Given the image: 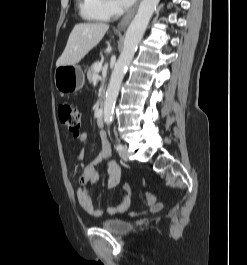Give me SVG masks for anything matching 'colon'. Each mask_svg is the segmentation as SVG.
Wrapping results in <instances>:
<instances>
[{
    "instance_id": "5ec220e1",
    "label": "colon",
    "mask_w": 247,
    "mask_h": 265,
    "mask_svg": "<svg viewBox=\"0 0 247 265\" xmlns=\"http://www.w3.org/2000/svg\"><path fill=\"white\" fill-rule=\"evenodd\" d=\"M60 122L74 135L81 133V114L77 108L69 103H61L58 107ZM145 201L148 205L156 202V197L151 193L145 194Z\"/></svg>"
}]
</instances>
